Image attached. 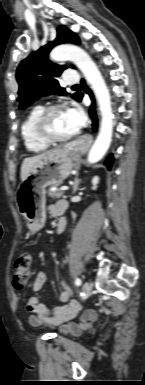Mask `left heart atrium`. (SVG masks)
<instances>
[{
    "label": "left heart atrium",
    "mask_w": 145,
    "mask_h": 385,
    "mask_svg": "<svg viewBox=\"0 0 145 385\" xmlns=\"http://www.w3.org/2000/svg\"><path fill=\"white\" fill-rule=\"evenodd\" d=\"M67 116L76 130H79L85 123V115L81 108L72 105L66 110Z\"/></svg>",
    "instance_id": "1"
}]
</instances>
